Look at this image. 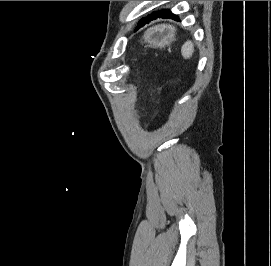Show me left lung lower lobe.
Returning a JSON list of instances; mask_svg holds the SVG:
<instances>
[{"instance_id": "1", "label": "left lung lower lobe", "mask_w": 271, "mask_h": 266, "mask_svg": "<svg viewBox=\"0 0 271 266\" xmlns=\"http://www.w3.org/2000/svg\"><path fill=\"white\" fill-rule=\"evenodd\" d=\"M157 18H172L174 20L179 21V18L177 15H174L171 11L163 10L159 12H154L153 14H150L148 17L140 20L135 30H138L139 28L143 27L145 24L149 23L151 20H155Z\"/></svg>"}]
</instances>
